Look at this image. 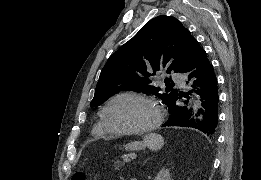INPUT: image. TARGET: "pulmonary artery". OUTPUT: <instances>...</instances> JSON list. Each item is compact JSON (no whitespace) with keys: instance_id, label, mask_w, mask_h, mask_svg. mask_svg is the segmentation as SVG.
Instances as JSON below:
<instances>
[{"instance_id":"pulmonary-artery-1","label":"pulmonary artery","mask_w":261,"mask_h":180,"mask_svg":"<svg viewBox=\"0 0 261 180\" xmlns=\"http://www.w3.org/2000/svg\"><path fill=\"white\" fill-rule=\"evenodd\" d=\"M170 77H181V72H170ZM173 83H184V78H173Z\"/></svg>"}]
</instances>
